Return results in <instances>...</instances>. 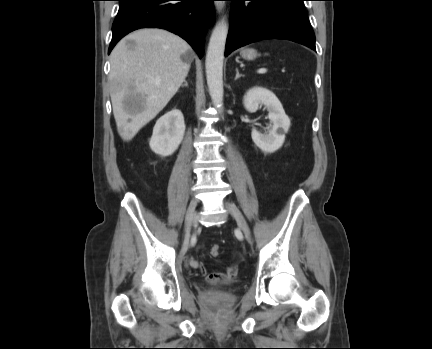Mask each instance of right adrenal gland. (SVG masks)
I'll list each match as a JSON object with an SVG mask.
<instances>
[{
  "label": "right adrenal gland",
  "mask_w": 432,
  "mask_h": 349,
  "mask_svg": "<svg viewBox=\"0 0 432 349\" xmlns=\"http://www.w3.org/2000/svg\"><path fill=\"white\" fill-rule=\"evenodd\" d=\"M188 87V82L186 80H184V83L182 84V87Z\"/></svg>",
  "instance_id": "2a0ac1e0"
}]
</instances>
